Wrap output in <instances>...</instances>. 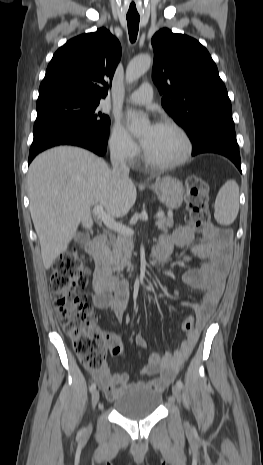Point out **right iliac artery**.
I'll list each match as a JSON object with an SVG mask.
<instances>
[{"mask_svg": "<svg viewBox=\"0 0 263 465\" xmlns=\"http://www.w3.org/2000/svg\"><path fill=\"white\" fill-rule=\"evenodd\" d=\"M95 389H96V384L92 383L90 388H89L90 392L92 393Z\"/></svg>", "mask_w": 263, "mask_h": 465, "instance_id": "right-iliac-artery-1", "label": "right iliac artery"}]
</instances>
